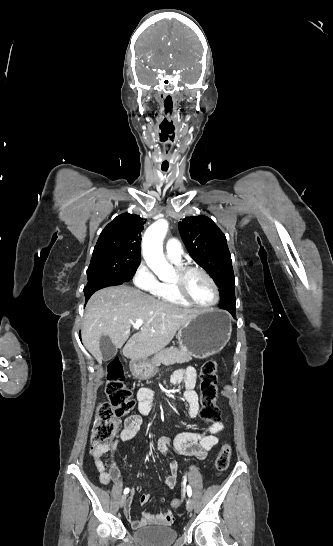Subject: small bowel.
Listing matches in <instances>:
<instances>
[{
    "mask_svg": "<svg viewBox=\"0 0 333 546\" xmlns=\"http://www.w3.org/2000/svg\"><path fill=\"white\" fill-rule=\"evenodd\" d=\"M174 384H184V398L187 402V416L193 418L197 415L199 409L198 396L195 392L196 371L193 367H186L177 370L171 377ZM138 413L128 417L120 433L121 441H129L136 436L143 423L142 416H148L152 412L154 392L148 387H142L137 392ZM222 421L214 422L207 431L186 430L179 433L175 438H160L156 447L158 452L168 461L170 475L165 479V485L173 489L178 480L179 468L177 463L171 459L168 448H173L177 454L182 456H192L197 459H204L207 453L218 443V434L223 430ZM108 454V462L105 464L103 457ZM91 456L99 474V480L107 485L120 479L121 472L114 460V448L107 444L95 446L91 450ZM133 494V491H132ZM151 500L148 493L140 496L139 502L145 505ZM162 502V499H158ZM132 498L127 500L124 506V514L134 529L149 525H169L174 520L171 510L162 513H142L141 518H134L131 514Z\"/></svg>",
    "mask_w": 333,
    "mask_h": 546,
    "instance_id": "small-bowel-1",
    "label": "small bowel"
}]
</instances>
